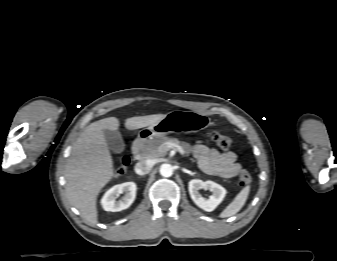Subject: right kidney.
I'll return each mask as SVG.
<instances>
[{
  "label": "right kidney",
  "instance_id": "1",
  "mask_svg": "<svg viewBox=\"0 0 337 261\" xmlns=\"http://www.w3.org/2000/svg\"><path fill=\"white\" fill-rule=\"evenodd\" d=\"M136 189L134 182H126L113 186L102 197L101 204L104 210L118 212L127 209L135 200ZM122 193H125L122 200L116 201L117 197Z\"/></svg>",
  "mask_w": 337,
  "mask_h": 261
}]
</instances>
